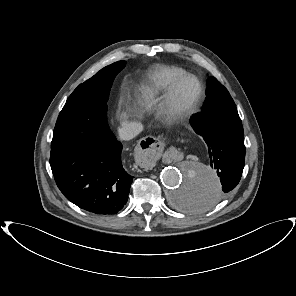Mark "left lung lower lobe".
<instances>
[{"mask_svg":"<svg viewBox=\"0 0 296 296\" xmlns=\"http://www.w3.org/2000/svg\"><path fill=\"white\" fill-rule=\"evenodd\" d=\"M190 123L206 146L210 165L220 177L221 186L210 192L189 181L180 193L179 204L186 210L203 211L218 203L239 183L245 163L244 131L230 94L207 99Z\"/></svg>","mask_w":296,"mask_h":296,"instance_id":"1","label":"left lung lower lobe"}]
</instances>
